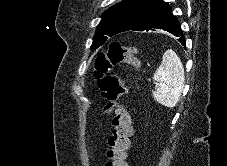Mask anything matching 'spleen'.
Listing matches in <instances>:
<instances>
[{
    "instance_id": "spleen-1",
    "label": "spleen",
    "mask_w": 227,
    "mask_h": 166,
    "mask_svg": "<svg viewBox=\"0 0 227 166\" xmlns=\"http://www.w3.org/2000/svg\"><path fill=\"white\" fill-rule=\"evenodd\" d=\"M153 79L158 83L153 91L154 99L165 107L173 108L180 99L185 76L182 62L172 49L165 51Z\"/></svg>"
}]
</instances>
